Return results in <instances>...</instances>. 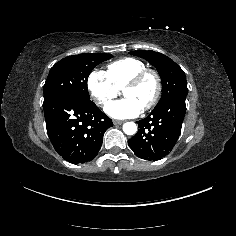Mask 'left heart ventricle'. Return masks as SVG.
Wrapping results in <instances>:
<instances>
[{
	"instance_id": "b2bd125f",
	"label": "left heart ventricle",
	"mask_w": 236,
	"mask_h": 236,
	"mask_svg": "<svg viewBox=\"0 0 236 236\" xmlns=\"http://www.w3.org/2000/svg\"><path fill=\"white\" fill-rule=\"evenodd\" d=\"M154 81L151 77H146L136 86L127 88L122 91L125 98L134 100L137 104L144 108L150 101L154 93Z\"/></svg>"
}]
</instances>
